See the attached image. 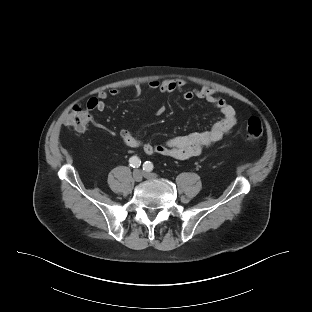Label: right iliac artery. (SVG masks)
<instances>
[{
  "mask_svg": "<svg viewBox=\"0 0 312 312\" xmlns=\"http://www.w3.org/2000/svg\"><path fill=\"white\" fill-rule=\"evenodd\" d=\"M129 163H130V166L132 167H139L141 165V160L137 157V156H132L130 159H129Z\"/></svg>",
  "mask_w": 312,
  "mask_h": 312,
  "instance_id": "obj_1",
  "label": "right iliac artery"
}]
</instances>
